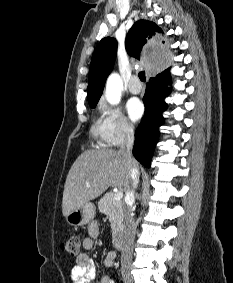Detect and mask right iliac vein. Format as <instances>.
Wrapping results in <instances>:
<instances>
[{
	"label": "right iliac vein",
	"mask_w": 233,
	"mask_h": 283,
	"mask_svg": "<svg viewBox=\"0 0 233 283\" xmlns=\"http://www.w3.org/2000/svg\"><path fill=\"white\" fill-rule=\"evenodd\" d=\"M123 279L125 283H133L132 277L127 273L123 274Z\"/></svg>",
	"instance_id": "63e3f726"
}]
</instances>
